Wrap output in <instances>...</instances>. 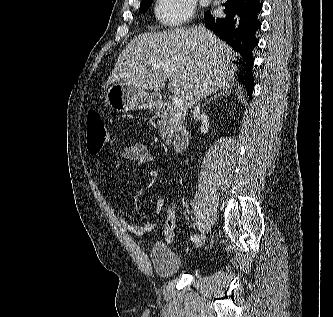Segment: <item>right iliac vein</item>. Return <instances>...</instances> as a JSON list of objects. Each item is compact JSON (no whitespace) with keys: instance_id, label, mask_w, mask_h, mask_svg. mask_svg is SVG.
I'll use <instances>...</instances> for the list:
<instances>
[{"instance_id":"63e3f726","label":"right iliac vein","mask_w":333,"mask_h":317,"mask_svg":"<svg viewBox=\"0 0 333 317\" xmlns=\"http://www.w3.org/2000/svg\"><path fill=\"white\" fill-rule=\"evenodd\" d=\"M204 241H205V235L201 234L199 235V238L196 241H194V246L199 247L204 243Z\"/></svg>"}]
</instances>
